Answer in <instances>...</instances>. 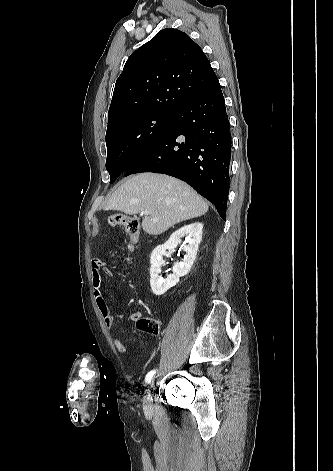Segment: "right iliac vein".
Here are the masks:
<instances>
[{"label":"right iliac vein","instance_id":"1","mask_svg":"<svg viewBox=\"0 0 333 471\" xmlns=\"http://www.w3.org/2000/svg\"><path fill=\"white\" fill-rule=\"evenodd\" d=\"M153 383L154 381L151 380L148 384H147V393H146V396L144 397V407L146 409H150L151 408V404H152V397H151V394H152V391H153Z\"/></svg>","mask_w":333,"mask_h":471}]
</instances>
